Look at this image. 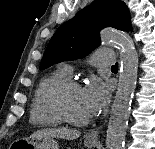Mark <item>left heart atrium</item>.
<instances>
[{
	"instance_id": "left-heart-atrium-1",
	"label": "left heart atrium",
	"mask_w": 155,
	"mask_h": 149,
	"mask_svg": "<svg viewBox=\"0 0 155 149\" xmlns=\"http://www.w3.org/2000/svg\"><path fill=\"white\" fill-rule=\"evenodd\" d=\"M83 101L89 116L101 112L109 102V90L99 79H92L82 88Z\"/></svg>"
}]
</instances>
